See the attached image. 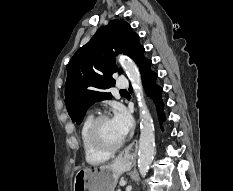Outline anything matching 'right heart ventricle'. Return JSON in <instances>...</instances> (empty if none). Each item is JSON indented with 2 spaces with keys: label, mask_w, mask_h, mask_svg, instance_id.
<instances>
[{
  "label": "right heart ventricle",
  "mask_w": 233,
  "mask_h": 191,
  "mask_svg": "<svg viewBox=\"0 0 233 191\" xmlns=\"http://www.w3.org/2000/svg\"><path fill=\"white\" fill-rule=\"evenodd\" d=\"M93 118L94 116L92 114H89L84 119L80 128V140L85 160L89 164H99L106 161L110 157V155L99 154L93 151L87 142V130Z\"/></svg>",
  "instance_id": "e07e8e85"
}]
</instances>
